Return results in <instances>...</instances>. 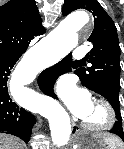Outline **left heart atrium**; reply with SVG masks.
Wrapping results in <instances>:
<instances>
[{"label": "left heart atrium", "instance_id": "39dd6f15", "mask_svg": "<svg viewBox=\"0 0 124 149\" xmlns=\"http://www.w3.org/2000/svg\"><path fill=\"white\" fill-rule=\"evenodd\" d=\"M55 90L72 114L81 119L87 117L93 107V102L86 90L78 88L69 77L60 78Z\"/></svg>", "mask_w": 124, "mask_h": 149}]
</instances>
